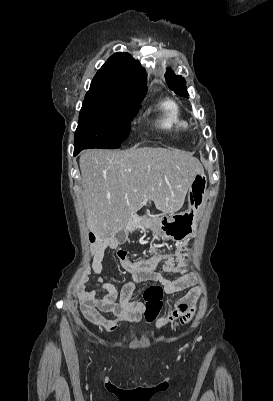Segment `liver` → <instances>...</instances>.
I'll return each instance as SVG.
<instances>
[{
    "label": "liver",
    "instance_id": "liver-1",
    "mask_svg": "<svg viewBox=\"0 0 273 401\" xmlns=\"http://www.w3.org/2000/svg\"><path fill=\"white\" fill-rule=\"evenodd\" d=\"M80 168L87 227L98 243L113 241L148 201L163 215L180 211L196 172H203L192 152L152 146L84 150Z\"/></svg>",
    "mask_w": 273,
    "mask_h": 401
}]
</instances>
